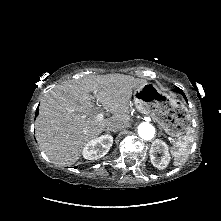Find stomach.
<instances>
[{"mask_svg":"<svg viewBox=\"0 0 221 221\" xmlns=\"http://www.w3.org/2000/svg\"><path fill=\"white\" fill-rule=\"evenodd\" d=\"M134 101L138 111L152 116L168 135L182 137L188 132L191 117L185 105L155 84L146 83L136 88Z\"/></svg>","mask_w":221,"mask_h":221,"instance_id":"obj_1","label":"stomach"}]
</instances>
